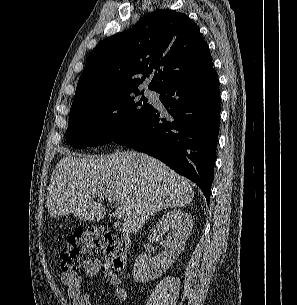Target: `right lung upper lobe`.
I'll list each match as a JSON object with an SVG mask.
<instances>
[{
    "label": "right lung upper lobe",
    "instance_id": "1",
    "mask_svg": "<svg viewBox=\"0 0 297 305\" xmlns=\"http://www.w3.org/2000/svg\"><path fill=\"white\" fill-rule=\"evenodd\" d=\"M212 69L209 47L194 22L183 13L157 10L130 30L103 40L90 53L72 106L138 91L150 73L154 76L148 88L157 92L202 77Z\"/></svg>",
    "mask_w": 297,
    "mask_h": 305
}]
</instances>
